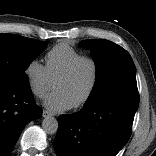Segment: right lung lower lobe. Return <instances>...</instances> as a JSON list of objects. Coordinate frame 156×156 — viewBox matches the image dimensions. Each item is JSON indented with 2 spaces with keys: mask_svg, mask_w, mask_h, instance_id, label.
Here are the masks:
<instances>
[{
  "mask_svg": "<svg viewBox=\"0 0 156 156\" xmlns=\"http://www.w3.org/2000/svg\"><path fill=\"white\" fill-rule=\"evenodd\" d=\"M41 115L29 86L0 83V156H7L26 124Z\"/></svg>",
  "mask_w": 156,
  "mask_h": 156,
  "instance_id": "98d812e1",
  "label": "right lung lower lobe"
}]
</instances>
